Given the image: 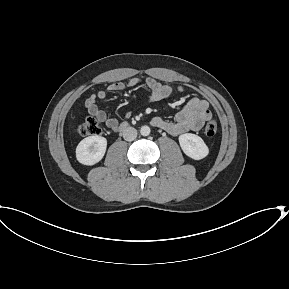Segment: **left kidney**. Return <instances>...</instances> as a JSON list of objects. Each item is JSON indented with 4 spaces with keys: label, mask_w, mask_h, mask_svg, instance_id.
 Segmentation results:
<instances>
[{
    "label": "left kidney",
    "mask_w": 289,
    "mask_h": 289,
    "mask_svg": "<svg viewBox=\"0 0 289 289\" xmlns=\"http://www.w3.org/2000/svg\"><path fill=\"white\" fill-rule=\"evenodd\" d=\"M179 144L183 152L194 160H201L209 154V149L203 139L192 133L179 136Z\"/></svg>",
    "instance_id": "1"
}]
</instances>
